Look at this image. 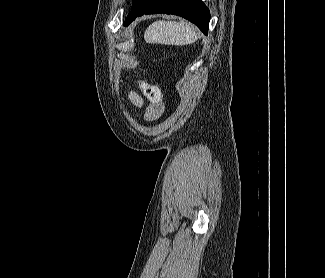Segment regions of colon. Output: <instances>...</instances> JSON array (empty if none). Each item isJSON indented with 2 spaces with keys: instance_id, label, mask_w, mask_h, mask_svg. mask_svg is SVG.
Returning a JSON list of instances; mask_svg holds the SVG:
<instances>
[{
  "instance_id": "5ec220e1",
  "label": "colon",
  "mask_w": 325,
  "mask_h": 278,
  "mask_svg": "<svg viewBox=\"0 0 325 278\" xmlns=\"http://www.w3.org/2000/svg\"><path fill=\"white\" fill-rule=\"evenodd\" d=\"M141 87L143 90L144 95L156 106L161 107V92L159 88L151 83L142 82Z\"/></svg>"
}]
</instances>
